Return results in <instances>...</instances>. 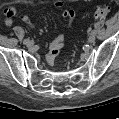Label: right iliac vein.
<instances>
[{"label": "right iliac vein", "instance_id": "right-iliac-vein-1", "mask_svg": "<svg viewBox=\"0 0 119 119\" xmlns=\"http://www.w3.org/2000/svg\"><path fill=\"white\" fill-rule=\"evenodd\" d=\"M27 47H32L34 45L33 41L29 40L28 42L25 43Z\"/></svg>", "mask_w": 119, "mask_h": 119}]
</instances>
